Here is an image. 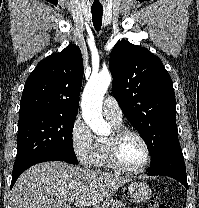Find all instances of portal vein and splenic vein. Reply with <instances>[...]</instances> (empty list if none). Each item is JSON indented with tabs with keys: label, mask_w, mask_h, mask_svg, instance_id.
Listing matches in <instances>:
<instances>
[{
	"label": "portal vein and splenic vein",
	"mask_w": 199,
	"mask_h": 208,
	"mask_svg": "<svg viewBox=\"0 0 199 208\" xmlns=\"http://www.w3.org/2000/svg\"><path fill=\"white\" fill-rule=\"evenodd\" d=\"M67 200H68L69 203H72L74 201V198L73 197H69Z\"/></svg>",
	"instance_id": "portal-vein-and-splenic-vein-1"
}]
</instances>
